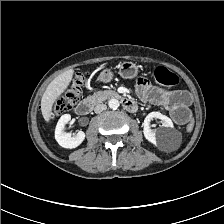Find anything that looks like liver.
Returning a JSON list of instances; mask_svg holds the SVG:
<instances>
[{
	"label": "liver",
	"instance_id": "6515ba94",
	"mask_svg": "<svg viewBox=\"0 0 224 224\" xmlns=\"http://www.w3.org/2000/svg\"><path fill=\"white\" fill-rule=\"evenodd\" d=\"M73 74V69L65 71L64 73L58 75L46 88L41 100V111L46 122L50 121L52 106L56 99L69 86Z\"/></svg>",
	"mask_w": 224,
	"mask_h": 224
}]
</instances>
